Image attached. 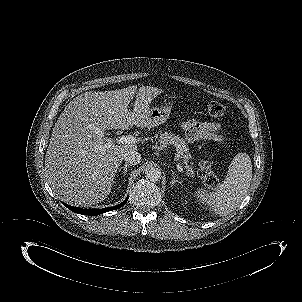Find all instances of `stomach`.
<instances>
[{
    "label": "stomach",
    "instance_id": "1",
    "mask_svg": "<svg viewBox=\"0 0 302 302\" xmlns=\"http://www.w3.org/2000/svg\"><path fill=\"white\" fill-rule=\"evenodd\" d=\"M173 108L172 102H166L162 107H154L148 110L147 121L148 128L158 126L165 123L170 116L171 110Z\"/></svg>",
    "mask_w": 302,
    "mask_h": 302
}]
</instances>
